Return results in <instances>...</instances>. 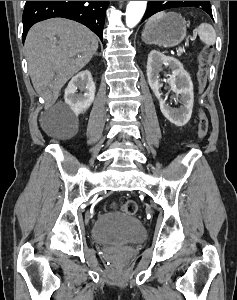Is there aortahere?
Masks as SVG:
<instances>
[{
  "mask_svg": "<svg viewBox=\"0 0 237 300\" xmlns=\"http://www.w3.org/2000/svg\"><path fill=\"white\" fill-rule=\"evenodd\" d=\"M147 7V1H130L126 9V25L133 29L141 21Z\"/></svg>",
  "mask_w": 237,
  "mask_h": 300,
  "instance_id": "1",
  "label": "aorta"
}]
</instances>
